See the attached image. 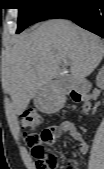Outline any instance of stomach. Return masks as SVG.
<instances>
[{
    "label": "stomach",
    "instance_id": "obj_1",
    "mask_svg": "<svg viewBox=\"0 0 104 169\" xmlns=\"http://www.w3.org/2000/svg\"><path fill=\"white\" fill-rule=\"evenodd\" d=\"M58 95L56 94L52 84L43 86L34 98V103L37 108L43 112H50L55 109V101Z\"/></svg>",
    "mask_w": 104,
    "mask_h": 169
}]
</instances>
